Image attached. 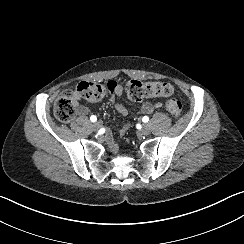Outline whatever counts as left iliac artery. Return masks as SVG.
I'll use <instances>...</instances> for the list:
<instances>
[{"label":"left iliac artery","instance_id":"left-iliac-artery-1","mask_svg":"<svg viewBox=\"0 0 244 244\" xmlns=\"http://www.w3.org/2000/svg\"><path fill=\"white\" fill-rule=\"evenodd\" d=\"M142 121L145 122V123L148 122V121H149V117H148V116H144V117L142 118Z\"/></svg>","mask_w":244,"mask_h":244}]
</instances>
